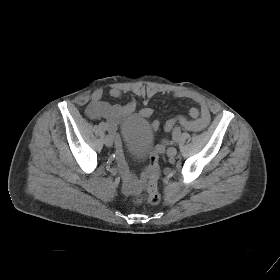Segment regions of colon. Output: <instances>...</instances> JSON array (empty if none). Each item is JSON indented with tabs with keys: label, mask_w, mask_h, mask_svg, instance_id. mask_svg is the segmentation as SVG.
I'll return each instance as SVG.
<instances>
[{
	"label": "colon",
	"mask_w": 280,
	"mask_h": 280,
	"mask_svg": "<svg viewBox=\"0 0 280 280\" xmlns=\"http://www.w3.org/2000/svg\"><path fill=\"white\" fill-rule=\"evenodd\" d=\"M160 175V166L158 161V154L154 150L150 154L149 168H148V182L144 193L134 197L135 203H148L156 205L160 201V194L157 187V181Z\"/></svg>",
	"instance_id": "colon-1"
}]
</instances>
